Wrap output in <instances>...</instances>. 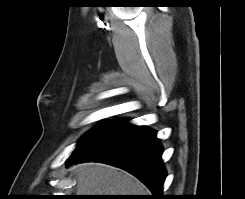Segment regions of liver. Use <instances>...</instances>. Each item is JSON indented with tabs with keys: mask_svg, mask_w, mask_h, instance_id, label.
I'll return each mask as SVG.
<instances>
[{
	"mask_svg": "<svg viewBox=\"0 0 245 199\" xmlns=\"http://www.w3.org/2000/svg\"><path fill=\"white\" fill-rule=\"evenodd\" d=\"M75 172L77 195H148L140 181L110 165L81 163Z\"/></svg>",
	"mask_w": 245,
	"mask_h": 199,
	"instance_id": "liver-1",
	"label": "liver"
}]
</instances>
